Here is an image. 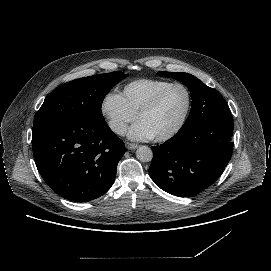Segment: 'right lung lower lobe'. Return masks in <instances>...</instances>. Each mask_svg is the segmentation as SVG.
<instances>
[{"label": "right lung lower lobe", "mask_w": 271, "mask_h": 271, "mask_svg": "<svg viewBox=\"0 0 271 271\" xmlns=\"http://www.w3.org/2000/svg\"><path fill=\"white\" fill-rule=\"evenodd\" d=\"M35 163L58 195L75 202L102 196L112 186L125 146L105 120L49 118L32 130Z\"/></svg>", "instance_id": "98d812e1"}]
</instances>
